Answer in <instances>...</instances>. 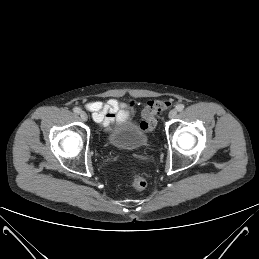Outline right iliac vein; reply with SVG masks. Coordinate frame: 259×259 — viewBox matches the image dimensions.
I'll return each mask as SVG.
<instances>
[{
	"label": "right iliac vein",
	"instance_id": "right-iliac-vein-1",
	"mask_svg": "<svg viewBox=\"0 0 259 259\" xmlns=\"http://www.w3.org/2000/svg\"><path fill=\"white\" fill-rule=\"evenodd\" d=\"M80 118H81L82 121H87L88 116L84 111H81L80 112Z\"/></svg>",
	"mask_w": 259,
	"mask_h": 259
}]
</instances>
